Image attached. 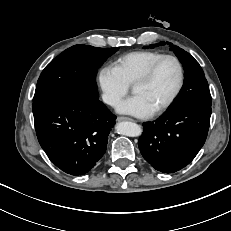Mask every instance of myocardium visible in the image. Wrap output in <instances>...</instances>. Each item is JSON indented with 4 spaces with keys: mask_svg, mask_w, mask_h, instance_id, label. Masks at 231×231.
<instances>
[{
    "mask_svg": "<svg viewBox=\"0 0 231 231\" xmlns=\"http://www.w3.org/2000/svg\"><path fill=\"white\" fill-rule=\"evenodd\" d=\"M173 60L179 71V79L176 88L172 92V94L169 96V98L162 103L158 108H156L153 112V114H160L167 110L177 99L179 94L181 93L184 83H185V69L183 66L182 61L175 55L172 54H164L157 58L155 61H153L139 76L138 78L134 81L132 84V87L134 88L136 85L146 83L147 81L150 80V78L153 76L155 70L159 66V64L164 61V60Z\"/></svg>",
    "mask_w": 231,
    "mask_h": 231,
    "instance_id": "myocardium-1",
    "label": "myocardium"
}]
</instances>
